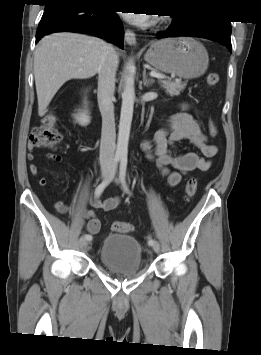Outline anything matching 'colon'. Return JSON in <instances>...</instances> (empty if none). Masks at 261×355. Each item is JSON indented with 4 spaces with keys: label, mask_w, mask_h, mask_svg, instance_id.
<instances>
[{
    "label": "colon",
    "mask_w": 261,
    "mask_h": 355,
    "mask_svg": "<svg viewBox=\"0 0 261 355\" xmlns=\"http://www.w3.org/2000/svg\"><path fill=\"white\" fill-rule=\"evenodd\" d=\"M219 81V76L216 73H211L207 77V84L213 86ZM209 133L212 137L216 136V128L212 120L208 122ZM63 140L61 132L58 130L55 120L53 118H45L40 125L35 127L30 135V143L35 147L52 148L59 145ZM197 180L189 179L185 185V197L190 200L196 193ZM112 231L116 233L132 232L134 227L127 222H114L112 224Z\"/></svg>",
    "instance_id": "5ec220e1"
}]
</instances>
